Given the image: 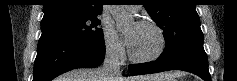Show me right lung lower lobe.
Instances as JSON below:
<instances>
[{"instance_id":"obj_1","label":"right lung lower lobe","mask_w":237,"mask_h":81,"mask_svg":"<svg viewBox=\"0 0 237 81\" xmlns=\"http://www.w3.org/2000/svg\"><path fill=\"white\" fill-rule=\"evenodd\" d=\"M104 56V40L84 42L43 35L38 42L33 81H51L75 68L97 67L103 62Z\"/></svg>"}]
</instances>
